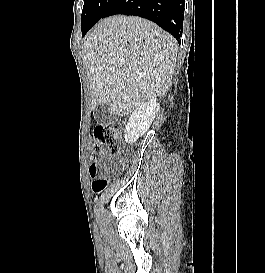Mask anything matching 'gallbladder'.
<instances>
[{"label":"gallbladder","mask_w":265,"mask_h":273,"mask_svg":"<svg viewBox=\"0 0 265 273\" xmlns=\"http://www.w3.org/2000/svg\"><path fill=\"white\" fill-rule=\"evenodd\" d=\"M94 118L99 123H105L115 118V114L111 112L108 104H102L94 109Z\"/></svg>","instance_id":"gallbladder-1"}]
</instances>
